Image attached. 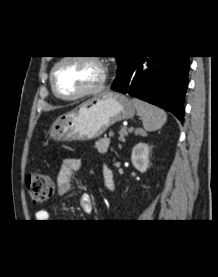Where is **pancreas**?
<instances>
[{
	"mask_svg": "<svg viewBox=\"0 0 218 277\" xmlns=\"http://www.w3.org/2000/svg\"><path fill=\"white\" fill-rule=\"evenodd\" d=\"M110 139L109 138H100L95 142V147L100 154H105L109 148Z\"/></svg>",
	"mask_w": 218,
	"mask_h": 277,
	"instance_id": "cf45deb5",
	"label": "pancreas"
}]
</instances>
